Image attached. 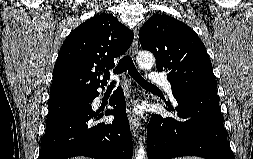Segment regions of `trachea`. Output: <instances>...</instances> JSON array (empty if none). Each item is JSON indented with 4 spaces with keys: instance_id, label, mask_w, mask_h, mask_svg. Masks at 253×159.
Wrapping results in <instances>:
<instances>
[{
    "instance_id": "obj_1",
    "label": "trachea",
    "mask_w": 253,
    "mask_h": 159,
    "mask_svg": "<svg viewBox=\"0 0 253 159\" xmlns=\"http://www.w3.org/2000/svg\"><path fill=\"white\" fill-rule=\"evenodd\" d=\"M125 71H128L129 75L142 87L145 88H156V86L147 82L137 71L136 67L133 64L132 58L130 55H125L119 61L114 73L119 75ZM114 81V80H113Z\"/></svg>"
}]
</instances>
